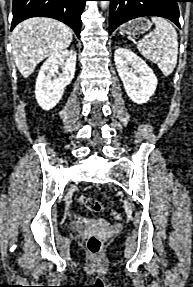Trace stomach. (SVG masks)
Returning a JSON list of instances; mask_svg holds the SVG:
<instances>
[{
	"mask_svg": "<svg viewBox=\"0 0 193 287\" xmlns=\"http://www.w3.org/2000/svg\"><path fill=\"white\" fill-rule=\"evenodd\" d=\"M152 26V23L145 19L140 18L134 21H131L122 26L121 32L128 35H141L146 33Z\"/></svg>",
	"mask_w": 193,
	"mask_h": 287,
	"instance_id": "1",
	"label": "stomach"
}]
</instances>
